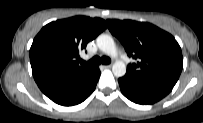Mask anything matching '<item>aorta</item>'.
Masks as SVG:
<instances>
[{
  "label": "aorta",
  "instance_id": "1",
  "mask_svg": "<svg viewBox=\"0 0 203 123\" xmlns=\"http://www.w3.org/2000/svg\"><path fill=\"white\" fill-rule=\"evenodd\" d=\"M98 48L110 57H117V48L113 38L107 34H101L96 40ZM112 72L116 77H122L126 73V65L121 60H116L112 66Z\"/></svg>",
  "mask_w": 203,
  "mask_h": 123
}]
</instances>
